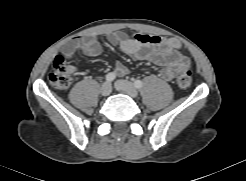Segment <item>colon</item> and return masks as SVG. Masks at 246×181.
I'll use <instances>...</instances> for the list:
<instances>
[{
    "label": "colon",
    "instance_id": "obj_1",
    "mask_svg": "<svg viewBox=\"0 0 246 181\" xmlns=\"http://www.w3.org/2000/svg\"><path fill=\"white\" fill-rule=\"evenodd\" d=\"M142 40L145 42H156L157 38L155 36H145ZM73 73V68L67 64L65 58L58 55L55 57L48 74L49 83L55 88H67L72 84ZM176 81L181 89L186 90L190 88L192 79L189 67H183L178 70Z\"/></svg>",
    "mask_w": 246,
    "mask_h": 181
}]
</instances>
